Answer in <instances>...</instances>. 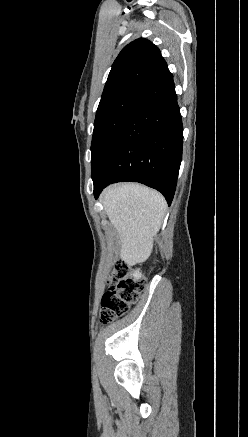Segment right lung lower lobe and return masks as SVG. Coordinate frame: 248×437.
I'll list each match as a JSON object with an SVG mask.
<instances>
[{
  "label": "right lung lower lobe",
  "mask_w": 248,
  "mask_h": 437,
  "mask_svg": "<svg viewBox=\"0 0 248 437\" xmlns=\"http://www.w3.org/2000/svg\"><path fill=\"white\" fill-rule=\"evenodd\" d=\"M183 125L166 68L137 96L92 167L94 195L120 181L160 191L170 205L182 159Z\"/></svg>",
  "instance_id": "right-lung-lower-lobe-1"
}]
</instances>
